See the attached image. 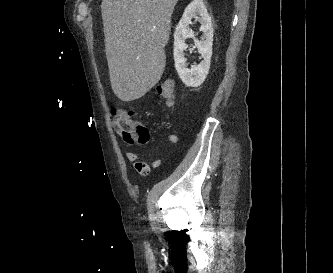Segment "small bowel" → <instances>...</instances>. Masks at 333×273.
I'll use <instances>...</instances> for the list:
<instances>
[{"label": "small bowel", "instance_id": "1", "mask_svg": "<svg viewBox=\"0 0 333 273\" xmlns=\"http://www.w3.org/2000/svg\"><path fill=\"white\" fill-rule=\"evenodd\" d=\"M167 142H168V144H169L170 146H174V145H176L177 142H178V136L175 135V134H170V135L168 136V138H167ZM125 157H126V159H127L128 161H130V162H132V163H134V164H136V163L140 160L138 154L135 153V152H133V151H126V152H125ZM159 163H160V160L157 159V160L153 161L152 164H153L154 166H157Z\"/></svg>", "mask_w": 333, "mask_h": 273}]
</instances>
